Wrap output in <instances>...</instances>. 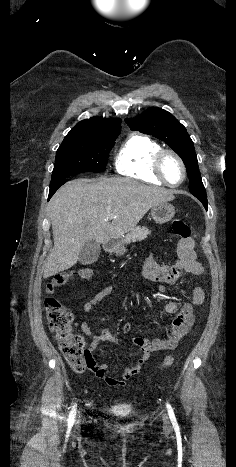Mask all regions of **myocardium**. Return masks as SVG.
Listing matches in <instances>:
<instances>
[{
  "mask_svg": "<svg viewBox=\"0 0 236 467\" xmlns=\"http://www.w3.org/2000/svg\"><path fill=\"white\" fill-rule=\"evenodd\" d=\"M167 155H170L172 157H174L178 163L180 164L181 166V169H182V179L180 182L176 183V184H172L170 182L167 181V179L165 178V175L163 173V168H162V165H163V160L164 158L167 156ZM153 172L155 174V176L162 181L163 184H165L166 186H169V187H179L180 185H182L184 183V181L186 180V177H187V169H186V165L183 161V159L180 157V155L178 153H176L175 151L171 150V149H161L160 151H158L154 157V160H153Z\"/></svg>",
  "mask_w": 236,
  "mask_h": 467,
  "instance_id": "1",
  "label": "myocardium"
}]
</instances>
